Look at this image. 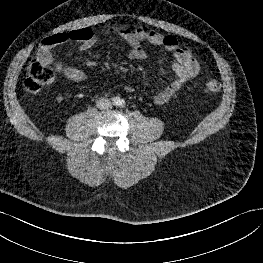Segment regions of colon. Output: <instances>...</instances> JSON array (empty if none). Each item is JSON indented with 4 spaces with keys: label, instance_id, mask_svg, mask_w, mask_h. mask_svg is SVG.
Segmentation results:
<instances>
[{
    "label": "colon",
    "instance_id": "obj_1",
    "mask_svg": "<svg viewBox=\"0 0 263 263\" xmlns=\"http://www.w3.org/2000/svg\"><path fill=\"white\" fill-rule=\"evenodd\" d=\"M55 79L54 70L39 59L32 60L27 67L24 86L27 91L37 93ZM221 89L220 82L215 77H208L204 81L203 91L206 94H215Z\"/></svg>",
    "mask_w": 263,
    "mask_h": 263
}]
</instances>
